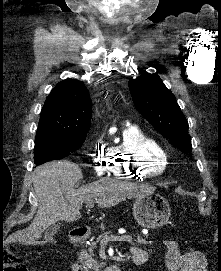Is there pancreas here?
I'll use <instances>...</instances> for the list:
<instances>
[{
	"mask_svg": "<svg viewBox=\"0 0 221 271\" xmlns=\"http://www.w3.org/2000/svg\"><path fill=\"white\" fill-rule=\"evenodd\" d=\"M105 234H112V231H104L102 233V237H97V240H89L88 249H80L78 253V261L79 263H83L86 265L85 269H94V271H99L100 265H104V263H99L94 255V249L97 247V242H104ZM113 239V237H112ZM135 244H143V247H150L152 241H145V237H138V239L134 240Z\"/></svg>",
	"mask_w": 221,
	"mask_h": 271,
	"instance_id": "cf45deb5",
	"label": "pancreas"
}]
</instances>
